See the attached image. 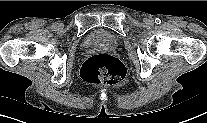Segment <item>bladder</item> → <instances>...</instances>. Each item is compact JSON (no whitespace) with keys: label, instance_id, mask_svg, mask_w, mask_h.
<instances>
[{"label":"bladder","instance_id":"31cf9c89","mask_svg":"<svg viewBox=\"0 0 207 123\" xmlns=\"http://www.w3.org/2000/svg\"><path fill=\"white\" fill-rule=\"evenodd\" d=\"M87 47H111L117 44V38L107 30L96 29L84 41Z\"/></svg>","mask_w":207,"mask_h":123}]
</instances>
